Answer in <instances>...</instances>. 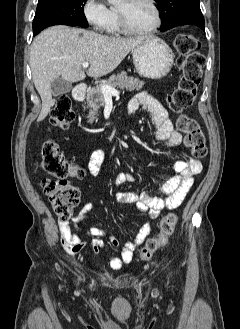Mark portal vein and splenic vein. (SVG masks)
I'll use <instances>...</instances> for the list:
<instances>
[{
	"label": "portal vein and splenic vein",
	"mask_w": 240,
	"mask_h": 329,
	"mask_svg": "<svg viewBox=\"0 0 240 329\" xmlns=\"http://www.w3.org/2000/svg\"><path fill=\"white\" fill-rule=\"evenodd\" d=\"M82 66L83 68H87L89 66V62H83ZM101 90L105 96H116L119 94V91L106 84L101 85Z\"/></svg>",
	"instance_id": "1"
}]
</instances>
